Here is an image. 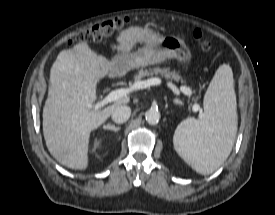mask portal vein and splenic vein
<instances>
[{
	"mask_svg": "<svg viewBox=\"0 0 275 215\" xmlns=\"http://www.w3.org/2000/svg\"><path fill=\"white\" fill-rule=\"evenodd\" d=\"M160 83H161V81H160L159 78H150V79L145 80V81L137 82L132 87L120 88V89L111 91L104 99H102L101 101L97 102L94 105H90L89 107L91 109H95V110L101 109L105 105H107L111 102L119 100L121 97L126 96L127 94L131 93L132 91H135V90H138V89L148 88L150 86L158 85ZM180 90L186 96L190 97L192 95L191 89L186 87V86H182L180 88ZM192 111H194V112L200 111V106L198 104L192 105ZM201 116H202V114H201Z\"/></svg>",
	"mask_w": 275,
	"mask_h": 215,
	"instance_id": "portal-vein-and-splenic-vein-1",
	"label": "portal vein and splenic vein"
}]
</instances>
